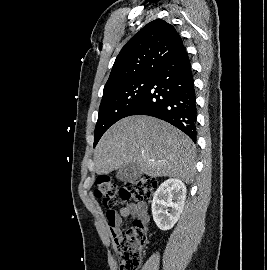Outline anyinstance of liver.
<instances>
[{
	"label": "liver",
	"instance_id": "6515ba94",
	"mask_svg": "<svg viewBox=\"0 0 267 270\" xmlns=\"http://www.w3.org/2000/svg\"><path fill=\"white\" fill-rule=\"evenodd\" d=\"M195 145L172 125L146 115L111 126L94 152V170L108 174L131 163L149 177H173L189 184L195 173Z\"/></svg>",
	"mask_w": 267,
	"mask_h": 270
}]
</instances>
